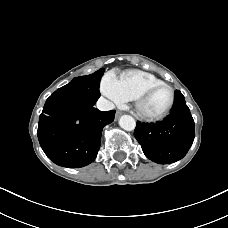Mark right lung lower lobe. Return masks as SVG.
<instances>
[{"label":"right lung lower lobe","mask_w":228,"mask_h":228,"mask_svg":"<svg viewBox=\"0 0 228 228\" xmlns=\"http://www.w3.org/2000/svg\"><path fill=\"white\" fill-rule=\"evenodd\" d=\"M115 111L49 97L39 118L38 139L49 159L57 165L78 168L93 162L100 148L103 127Z\"/></svg>","instance_id":"obj_1"}]
</instances>
